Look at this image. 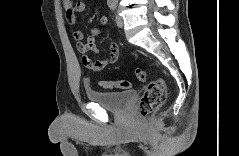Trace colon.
I'll use <instances>...</instances> for the list:
<instances>
[{
	"instance_id": "1",
	"label": "colon",
	"mask_w": 239,
	"mask_h": 156,
	"mask_svg": "<svg viewBox=\"0 0 239 156\" xmlns=\"http://www.w3.org/2000/svg\"><path fill=\"white\" fill-rule=\"evenodd\" d=\"M136 76L140 82H146L148 73L141 69H136ZM100 86L104 89H128L131 83L123 81H103ZM166 100V83L163 78L152 80L146 87L143 96L138 103V110L142 117L150 116L157 108L164 104Z\"/></svg>"
}]
</instances>
